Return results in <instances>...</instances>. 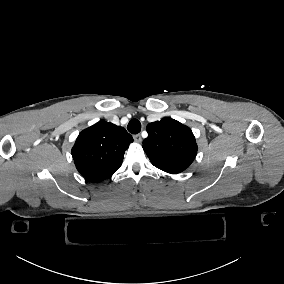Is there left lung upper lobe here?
<instances>
[{
	"instance_id": "left-lung-upper-lobe-1",
	"label": "left lung upper lobe",
	"mask_w": 284,
	"mask_h": 284,
	"mask_svg": "<svg viewBox=\"0 0 284 284\" xmlns=\"http://www.w3.org/2000/svg\"><path fill=\"white\" fill-rule=\"evenodd\" d=\"M148 137L143 149L151 163L170 174L187 169L197 153V144L191 129L179 121L163 118L149 123Z\"/></svg>"
}]
</instances>
